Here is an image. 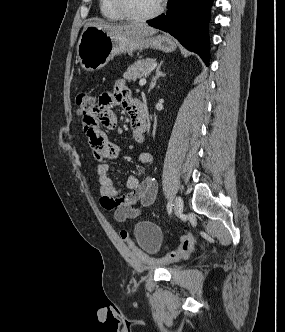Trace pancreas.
Segmentation results:
<instances>
[{"mask_svg": "<svg viewBox=\"0 0 285 332\" xmlns=\"http://www.w3.org/2000/svg\"><path fill=\"white\" fill-rule=\"evenodd\" d=\"M154 63V59L138 60L129 66L124 73V79L134 82L136 79L146 76Z\"/></svg>", "mask_w": 285, "mask_h": 332, "instance_id": "cf45deb5", "label": "pancreas"}]
</instances>
